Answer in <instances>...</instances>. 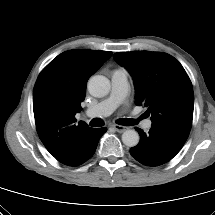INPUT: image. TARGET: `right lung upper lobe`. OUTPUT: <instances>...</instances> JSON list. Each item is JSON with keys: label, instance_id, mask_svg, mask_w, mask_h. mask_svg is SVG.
Returning a JSON list of instances; mask_svg holds the SVG:
<instances>
[{"label": "right lung upper lobe", "instance_id": "obj_1", "mask_svg": "<svg viewBox=\"0 0 215 215\" xmlns=\"http://www.w3.org/2000/svg\"><path fill=\"white\" fill-rule=\"evenodd\" d=\"M112 52L77 49L61 53L39 74L33 90V110L38 135L47 150L69 165L78 156L83 140L93 130L75 124L82 110L86 84Z\"/></svg>", "mask_w": 215, "mask_h": 215}]
</instances>
